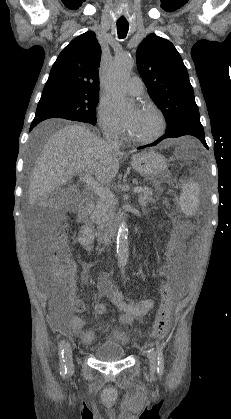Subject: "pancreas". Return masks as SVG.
Instances as JSON below:
<instances>
[{
  "instance_id": "obj_1",
  "label": "pancreas",
  "mask_w": 231,
  "mask_h": 419,
  "mask_svg": "<svg viewBox=\"0 0 231 419\" xmlns=\"http://www.w3.org/2000/svg\"><path fill=\"white\" fill-rule=\"evenodd\" d=\"M138 202L143 208H145L151 202L155 203L156 200L152 198V191L145 187L138 197ZM114 211L115 202L113 198L105 199L99 197L96 199L95 204L91 205L89 214L96 224H102L110 219V217L114 214Z\"/></svg>"
}]
</instances>
